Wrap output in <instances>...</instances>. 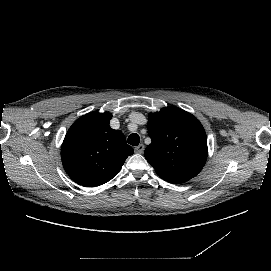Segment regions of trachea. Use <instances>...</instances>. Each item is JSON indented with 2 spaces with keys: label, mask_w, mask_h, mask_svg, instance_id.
<instances>
[{
  "label": "trachea",
  "mask_w": 271,
  "mask_h": 271,
  "mask_svg": "<svg viewBox=\"0 0 271 271\" xmlns=\"http://www.w3.org/2000/svg\"><path fill=\"white\" fill-rule=\"evenodd\" d=\"M140 142V137L138 134L133 133L128 137V143L133 146H137Z\"/></svg>",
  "instance_id": "1"
}]
</instances>
